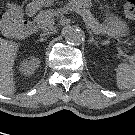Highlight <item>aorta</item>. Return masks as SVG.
Returning <instances> with one entry per match:
<instances>
[{
	"label": "aorta",
	"instance_id": "aorta-1",
	"mask_svg": "<svg viewBox=\"0 0 135 135\" xmlns=\"http://www.w3.org/2000/svg\"><path fill=\"white\" fill-rule=\"evenodd\" d=\"M65 40L72 45H80L84 39V33L76 26H67L64 30Z\"/></svg>",
	"mask_w": 135,
	"mask_h": 135
}]
</instances>
